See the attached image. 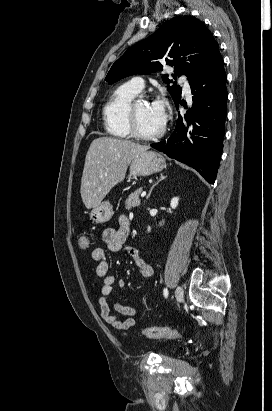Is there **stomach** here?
<instances>
[{
  "instance_id": "0dacf381",
  "label": "stomach",
  "mask_w": 272,
  "mask_h": 411,
  "mask_svg": "<svg viewBox=\"0 0 272 411\" xmlns=\"http://www.w3.org/2000/svg\"><path fill=\"white\" fill-rule=\"evenodd\" d=\"M128 166L130 176L136 178L138 176H149L163 170L166 162L160 153L146 151L133 158ZM112 215V205L108 201H105L93 208L90 213V219L94 223H105L111 219Z\"/></svg>"
}]
</instances>
